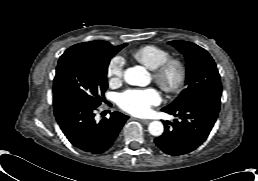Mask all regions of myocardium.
Wrapping results in <instances>:
<instances>
[{"instance_id": "obj_1", "label": "myocardium", "mask_w": 258, "mask_h": 181, "mask_svg": "<svg viewBox=\"0 0 258 181\" xmlns=\"http://www.w3.org/2000/svg\"><path fill=\"white\" fill-rule=\"evenodd\" d=\"M155 82L168 93L179 92L187 77L186 65L179 59L169 58L152 70Z\"/></svg>"}]
</instances>
